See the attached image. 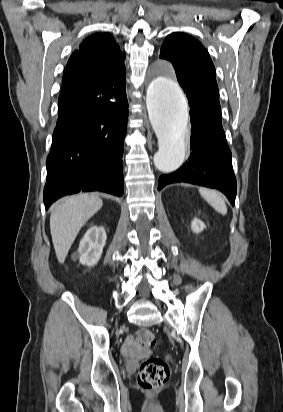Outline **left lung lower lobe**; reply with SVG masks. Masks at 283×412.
<instances>
[{
    "label": "left lung lower lobe",
    "mask_w": 283,
    "mask_h": 412,
    "mask_svg": "<svg viewBox=\"0 0 283 412\" xmlns=\"http://www.w3.org/2000/svg\"><path fill=\"white\" fill-rule=\"evenodd\" d=\"M191 117V154L175 172L159 178L158 190L171 183L186 182L223 192L234 206L236 178L231 151L221 123V110L188 96Z\"/></svg>",
    "instance_id": "left-lung-lower-lobe-1"
}]
</instances>
